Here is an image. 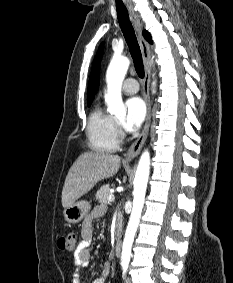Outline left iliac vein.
Returning <instances> with one entry per match:
<instances>
[{
	"instance_id": "4c4485c4",
	"label": "left iliac vein",
	"mask_w": 233,
	"mask_h": 283,
	"mask_svg": "<svg viewBox=\"0 0 233 283\" xmlns=\"http://www.w3.org/2000/svg\"><path fill=\"white\" fill-rule=\"evenodd\" d=\"M126 283H132V281H131V279L129 277H127Z\"/></svg>"
}]
</instances>
